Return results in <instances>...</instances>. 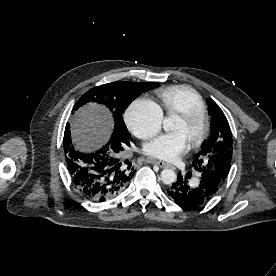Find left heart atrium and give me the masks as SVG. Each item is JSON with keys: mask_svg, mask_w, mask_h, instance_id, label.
<instances>
[{"mask_svg": "<svg viewBox=\"0 0 276 276\" xmlns=\"http://www.w3.org/2000/svg\"><path fill=\"white\" fill-rule=\"evenodd\" d=\"M189 150V143L182 133L162 135L145 145V153L163 161H175Z\"/></svg>", "mask_w": 276, "mask_h": 276, "instance_id": "left-heart-atrium-1", "label": "left heart atrium"}]
</instances>
